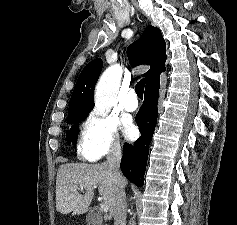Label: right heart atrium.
I'll use <instances>...</instances> for the list:
<instances>
[{
    "mask_svg": "<svg viewBox=\"0 0 237 225\" xmlns=\"http://www.w3.org/2000/svg\"><path fill=\"white\" fill-rule=\"evenodd\" d=\"M77 150L88 161L120 154L122 146L117 124L95 112L90 113L81 125Z\"/></svg>",
    "mask_w": 237,
    "mask_h": 225,
    "instance_id": "1",
    "label": "right heart atrium"
}]
</instances>
